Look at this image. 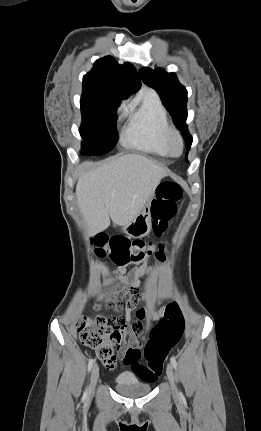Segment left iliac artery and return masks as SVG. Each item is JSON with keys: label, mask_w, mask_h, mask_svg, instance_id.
I'll list each match as a JSON object with an SVG mask.
<instances>
[{"label": "left iliac artery", "mask_w": 261, "mask_h": 431, "mask_svg": "<svg viewBox=\"0 0 261 431\" xmlns=\"http://www.w3.org/2000/svg\"><path fill=\"white\" fill-rule=\"evenodd\" d=\"M171 363H172V365H173V367H174V369H177V362H176V360H175V358L174 357H171Z\"/></svg>", "instance_id": "obj_1"}]
</instances>
